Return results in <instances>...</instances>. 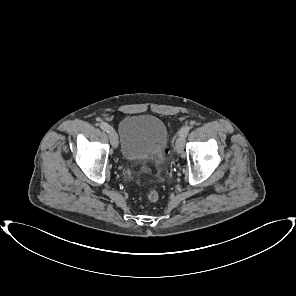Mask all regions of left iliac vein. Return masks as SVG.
Masks as SVG:
<instances>
[{"mask_svg":"<svg viewBox=\"0 0 296 296\" xmlns=\"http://www.w3.org/2000/svg\"><path fill=\"white\" fill-rule=\"evenodd\" d=\"M185 137L184 135H179L176 143H175V148L178 154H182L183 153V149H184V143H185Z\"/></svg>","mask_w":296,"mask_h":296,"instance_id":"left-iliac-vein-1","label":"left iliac vein"}]
</instances>
